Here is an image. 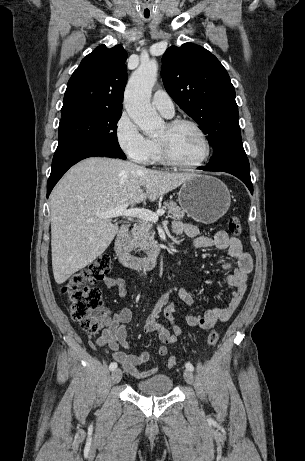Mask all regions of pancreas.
I'll return each instance as SVG.
<instances>
[{"instance_id":"1","label":"pancreas","mask_w":305,"mask_h":461,"mask_svg":"<svg viewBox=\"0 0 305 461\" xmlns=\"http://www.w3.org/2000/svg\"><path fill=\"white\" fill-rule=\"evenodd\" d=\"M160 209L168 210V217L174 220L184 218V211L173 201H165ZM153 251L157 249V242L154 240L153 225L149 221L141 220L133 227L130 237L126 241L125 250L135 249Z\"/></svg>"}]
</instances>
